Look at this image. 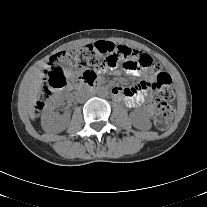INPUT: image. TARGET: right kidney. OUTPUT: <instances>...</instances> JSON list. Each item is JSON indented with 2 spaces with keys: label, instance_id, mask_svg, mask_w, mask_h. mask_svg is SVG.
I'll return each instance as SVG.
<instances>
[{
  "label": "right kidney",
  "instance_id": "obj_1",
  "mask_svg": "<svg viewBox=\"0 0 207 207\" xmlns=\"http://www.w3.org/2000/svg\"><path fill=\"white\" fill-rule=\"evenodd\" d=\"M65 100V95H53L45 105L41 115V126L44 131H63L69 122V117L60 116L56 108Z\"/></svg>",
  "mask_w": 207,
  "mask_h": 207
}]
</instances>
